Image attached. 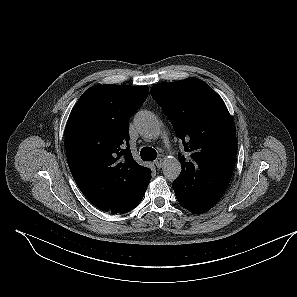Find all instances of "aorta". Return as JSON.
<instances>
[{
    "instance_id": "1",
    "label": "aorta",
    "mask_w": 297,
    "mask_h": 297,
    "mask_svg": "<svg viewBox=\"0 0 297 297\" xmlns=\"http://www.w3.org/2000/svg\"><path fill=\"white\" fill-rule=\"evenodd\" d=\"M134 125L138 132L146 138H155L159 135V122L156 116L146 110L139 111L134 116ZM181 163L173 156L165 158L163 162V174L166 179L173 181L177 179L181 173Z\"/></svg>"
}]
</instances>
